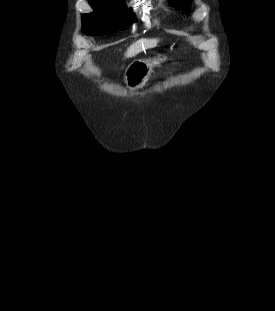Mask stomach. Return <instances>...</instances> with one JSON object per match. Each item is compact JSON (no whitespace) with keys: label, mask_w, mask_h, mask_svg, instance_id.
<instances>
[{"label":"stomach","mask_w":275,"mask_h":311,"mask_svg":"<svg viewBox=\"0 0 275 311\" xmlns=\"http://www.w3.org/2000/svg\"><path fill=\"white\" fill-rule=\"evenodd\" d=\"M165 57L159 55L153 59H139L132 62L124 73L125 86L131 90L136 91L143 87L152 71L154 65L159 64Z\"/></svg>","instance_id":"1"}]
</instances>
